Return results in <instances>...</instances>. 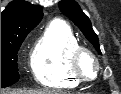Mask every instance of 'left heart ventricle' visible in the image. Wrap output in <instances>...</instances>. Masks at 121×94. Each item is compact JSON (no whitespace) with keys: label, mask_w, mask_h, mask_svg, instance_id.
<instances>
[{"label":"left heart ventricle","mask_w":121,"mask_h":94,"mask_svg":"<svg viewBox=\"0 0 121 94\" xmlns=\"http://www.w3.org/2000/svg\"><path fill=\"white\" fill-rule=\"evenodd\" d=\"M94 62L92 61L91 58L85 56L81 60V69L84 74L91 76L94 72Z\"/></svg>","instance_id":"obj_1"}]
</instances>
